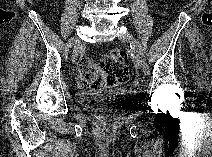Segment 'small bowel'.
Returning <instances> with one entry per match:
<instances>
[{
    "label": "small bowel",
    "instance_id": "small-bowel-1",
    "mask_svg": "<svg viewBox=\"0 0 212 157\" xmlns=\"http://www.w3.org/2000/svg\"><path fill=\"white\" fill-rule=\"evenodd\" d=\"M84 61H86L85 59L81 60V63H83Z\"/></svg>",
    "mask_w": 212,
    "mask_h": 157
}]
</instances>
